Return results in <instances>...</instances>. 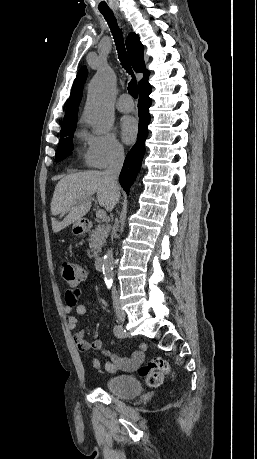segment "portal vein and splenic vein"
Returning a JSON list of instances; mask_svg holds the SVG:
<instances>
[{"label": "portal vein and splenic vein", "mask_w": 257, "mask_h": 459, "mask_svg": "<svg viewBox=\"0 0 257 459\" xmlns=\"http://www.w3.org/2000/svg\"><path fill=\"white\" fill-rule=\"evenodd\" d=\"M106 216V213L104 210H97L96 211V217L99 218V219H104Z\"/></svg>", "instance_id": "1"}]
</instances>
